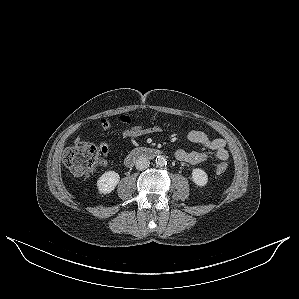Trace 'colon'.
<instances>
[{
  "instance_id": "1",
  "label": "colon",
  "mask_w": 299,
  "mask_h": 299,
  "mask_svg": "<svg viewBox=\"0 0 299 299\" xmlns=\"http://www.w3.org/2000/svg\"><path fill=\"white\" fill-rule=\"evenodd\" d=\"M64 164L69 172L76 177H89L99 165L104 163L103 154L91 142H77L68 148L63 157ZM227 163L218 164L217 171L223 173L227 170Z\"/></svg>"
}]
</instances>
